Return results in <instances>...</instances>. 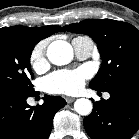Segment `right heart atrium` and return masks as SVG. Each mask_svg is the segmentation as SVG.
I'll return each mask as SVG.
<instances>
[{
  "mask_svg": "<svg viewBox=\"0 0 139 139\" xmlns=\"http://www.w3.org/2000/svg\"><path fill=\"white\" fill-rule=\"evenodd\" d=\"M46 44L45 42L37 43L31 51L30 63L33 69L41 70L46 65Z\"/></svg>",
  "mask_w": 139,
  "mask_h": 139,
  "instance_id": "d8ad5b80",
  "label": "right heart atrium"
}]
</instances>
